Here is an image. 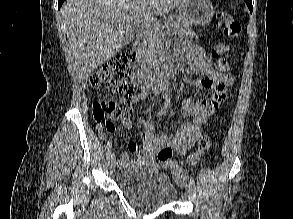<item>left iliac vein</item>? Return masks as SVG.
<instances>
[{
  "label": "left iliac vein",
  "mask_w": 293,
  "mask_h": 219,
  "mask_svg": "<svg viewBox=\"0 0 293 219\" xmlns=\"http://www.w3.org/2000/svg\"><path fill=\"white\" fill-rule=\"evenodd\" d=\"M185 195H186L188 198H191L192 190H191V188H190L189 185H186V188H185Z\"/></svg>",
  "instance_id": "4c4485c4"
}]
</instances>
